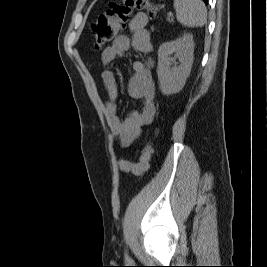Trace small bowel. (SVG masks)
Here are the masks:
<instances>
[{"instance_id": "obj_1", "label": "small bowel", "mask_w": 267, "mask_h": 267, "mask_svg": "<svg viewBox=\"0 0 267 267\" xmlns=\"http://www.w3.org/2000/svg\"><path fill=\"white\" fill-rule=\"evenodd\" d=\"M147 23L148 17L145 13H136L129 23L131 37L118 36L112 45L101 53V63L104 67L101 76L108 96L104 104V113L114 138L122 147H130L139 138L143 128L152 123L156 114L155 84L151 62L134 61L128 91L132 98L142 100V107L123 120L118 115V84L114 73L108 67L116 59L122 58L131 47L139 52H151L152 44L146 29Z\"/></svg>"}]
</instances>
